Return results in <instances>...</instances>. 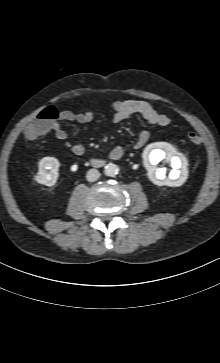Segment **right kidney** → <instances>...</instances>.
<instances>
[{"label":"right kidney","mask_w":220,"mask_h":363,"mask_svg":"<svg viewBox=\"0 0 220 363\" xmlns=\"http://www.w3.org/2000/svg\"><path fill=\"white\" fill-rule=\"evenodd\" d=\"M60 163L54 157H44L39 161V171L35 176V180L46 186H53L56 184Z\"/></svg>","instance_id":"obj_1"}]
</instances>
